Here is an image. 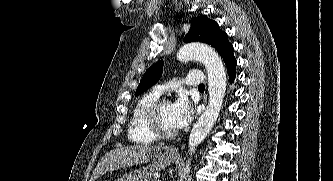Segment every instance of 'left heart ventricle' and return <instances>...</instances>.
I'll list each match as a JSON object with an SVG mask.
<instances>
[{
	"label": "left heart ventricle",
	"instance_id": "1",
	"mask_svg": "<svg viewBox=\"0 0 333 181\" xmlns=\"http://www.w3.org/2000/svg\"><path fill=\"white\" fill-rule=\"evenodd\" d=\"M161 126L167 131H174L176 128L172 123V105H165L160 113Z\"/></svg>",
	"mask_w": 333,
	"mask_h": 181
}]
</instances>
